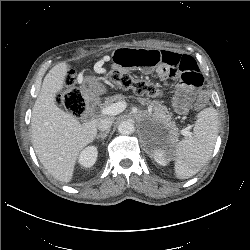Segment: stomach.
Instances as JSON below:
<instances>
[{
	"mask_svg": "<svg viewBox=\"0 0 250 250\" xmlns=\"http://www.w3.org/2000/svg\"><path fill=\"white\" fill-rule=\"evenodd\" d=\"M81 92L85 100L91 101L104 94L106 92V88L101 82L95 79H89L83 84Z\"/></svg>",
	"mask_w": 250,
	"mask_h": 250,
	"instance_id": "obj_1",
	"label": "stomach"
}]
</instances>
